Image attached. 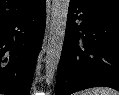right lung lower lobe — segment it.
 <instances>
[{
  "instance_id": "98d812e1",
  "label": "right lung lower lobe",
  "mask_w": 119,
  "mask_h": 95,
  "mask_svg": "<svg viewBox=\"0 0 119 95\" xmlns=\"http://www.w3.org/2000/svg\"><path fill=\"white\" fill-rule=\"evenodd\" d=\"M46 20L45 0L0 24V93L29 95Z\"/></svg>"
}]
</instances>
